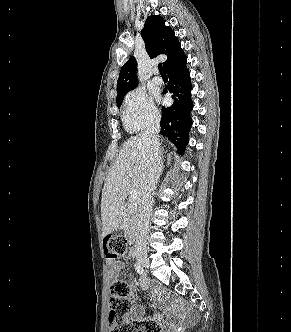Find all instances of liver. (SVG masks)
Returning <instances> with one entry per match:
<instances>
[{
  "label": "liver",
  "mask_w": 291,
  "mask_h": 332,
  "mask_svg": "<svg viewBox=\"0 0 291 332\" xmlns=\"http://www.w3.org/2000/svg\"><path fill=\"white\" fill-rule=\"evenodd\" d=\"M146 149L141 135L129 138L122 145L102 190V237L112 233L122 222L125 199L130 191H142L146 173Z\"/></svg>",
  "instance_id": "1"
}]
</instances>
